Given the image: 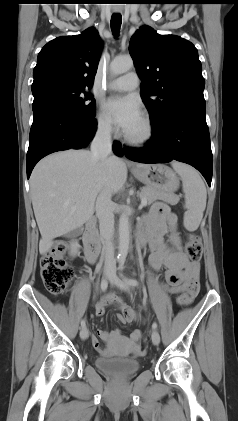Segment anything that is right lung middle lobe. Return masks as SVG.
<instances>
[{"label":"right lung middle lobe","mask_w":238,"mask_h":421,"mask_svg":"<svg viewBox=\"0 0 238 421\" xmlns=\"http://www.w3.org/2000/svg\"><path fill=\"white\" fill-rule=\"evenodd\" d=\"M87 88L72 86L60 82H45L32 86L34 102L51 99L62 103L79 116L93 119L96 103Z\"/></svg>","instance_id":"1"}]
</instances>
